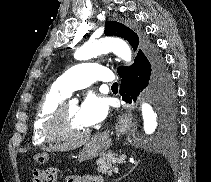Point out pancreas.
<instances>
[{"mask_svg":"<svg viewBox=\"0 0 211 182\" xmlns=\"http://www.w3.org/2000/svg\"><path fill=\"white\" fill-rule=\"evenodd\" d=\"M125 159V156L122 155L120 157H117L115 154L109 152L107 154H103L97 161V171L102 174H112V167L114 164L123 161Z\"/></svg>","mask_w":211,"mask_h":182,"instance_id":"obj_1","label":"pancreas"}]
</instances>
